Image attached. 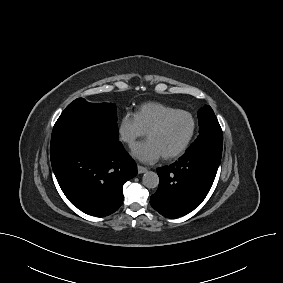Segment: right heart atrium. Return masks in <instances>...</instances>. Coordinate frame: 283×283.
<instances>
[{
	"instance_id": "d8ad5b80",
	"label": "right heart atrium",
	"mask_w": 283,
	"mask_h": 283,
	"mask_svg": "<svg viewBox=\"0 0 283 283\" xmlns=\"http://www.w3.org/2000/svg\"><path fill=\"white\" fill-rule=\"evenodd\" d=\"M120 139L128 146H133L146 132L140 125L135 113L126 112L118 124Z\"/></svg>"
}]
</instances>
